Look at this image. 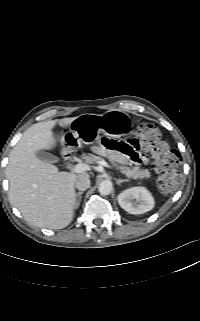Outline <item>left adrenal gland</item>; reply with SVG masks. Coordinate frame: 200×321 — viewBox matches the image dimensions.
<instances>
[{
	"mask_svg": "<svg viewBox=\"0 0 200 321\" xmlns=\"http://www.w3.org/2000/svg\"><path fill=\"white\" fill-rule=\"evenodd\" d=\"M128 179H116V184L120 185L122 182H128Z\"/></svg>",
	"mask_w": 200,
	"mask_h": 321,
	"instance_id": "obj_1",
	"label": "left adrenal gland"
}]
</instances>
